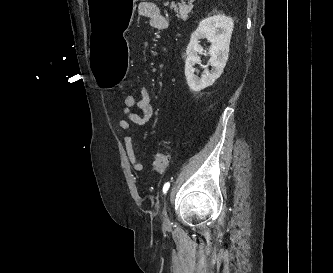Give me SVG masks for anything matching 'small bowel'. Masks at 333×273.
<instances>
[{
	"label": "small bowel",
	"instance_id": "1",
	"mask_svg": "<svg viewBox=\"0 0 333 273\" xmlns=\"http://www.w3.org/2000/svg\"><path fill=\"white\" fill-rule=\"evenodd\" d=\"M139 14L147 17L151 27L154 29H166L171 24L170 19L163 15L155 4L150 2H142L139 5ZM135 108L138 109L140 113L134 112L133 109H122L124 118L118 121L117 126L128 133L124 138L126 155L132 168L137 172H141L144 169V165L136 156L134 140L131 135V123L143 126L148 124L154 116L150 93L146 87L140 89L139 96L136 97Z\"/></svg>",
	"mask_w": 333,
	"mask_h": 273
}]
</instances>
